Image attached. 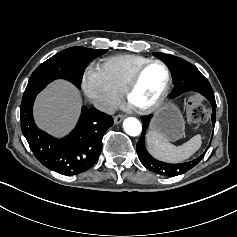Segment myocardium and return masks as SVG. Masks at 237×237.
I'll return each instance as SVG.
<instances>
[{"label": "myocardium", "mask_w": 237, "mask_h": 237, "mask_svg": "<svg viewBox=\"0 0 237 237\" xmlns=\"http://www.w3.org/2000/svg\"><path fill=\"white\" fill-rule=\"evenodd\" d=\"M153 64H159L165 69L166 83H165L164 89L161 92L160 96L152 104H150L146 107H135L131 103V98H132L133 92L135 91L136 87L138 86L144 71L149 66H151ZM171 86H172V73H171L169 66L164 61H162L160 59H152V60L147 61L145 64H143L131 78L130 82L128 83V85L124 91L125 100H126L127 104L136 113H138L140 115H148V114H151V113L157 111L164 104V102L166 101V99L170 93Z\"/></svg>", "instance_id": "1"}]
</instances>
